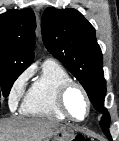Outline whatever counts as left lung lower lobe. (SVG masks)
Returning a JSON list of instances; mask_svg holds the SVG:
<instances>
[{
	"label": "left lung lower lobe",
	"mask_w": 119,
	"mask_h": 141,
	"mask_svg": "<svg viewBox=\"0 0 119 141\" xmlns=\"http://www.w3.org/2000/svg\"><path fill=\"white\" fill-rule=\"evenodd\" d=\"M109 122H110L109 113L105 112L101 118L100 125L105 135L109 138V140H112L111 135L109 133Z\"/></svg>",
	"instance_id": "left-lung-lower-lobe-1"
}]
</instances>
